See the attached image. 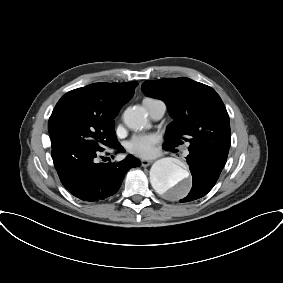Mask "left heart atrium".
Segmentation results:
<instances>
[{
    "label": "left heart atrium",
    "instance_id": "obj_1",
    "mask_svg": "<svg viewBox=\"0 0 283 283\" xmlns=\"http://www.w3.org/2000/svg\"><path fill=\"white\" fill-rule=\"evenodd\" d=\"M160 137L156 134L139 135L127 142L126 147L132 154L141 158H152L157 153L156 145Z\"/></svg>",
    "mask_w": 283,
    "mask_h": 283
}]
</instances>
